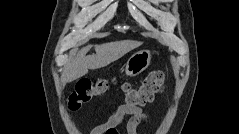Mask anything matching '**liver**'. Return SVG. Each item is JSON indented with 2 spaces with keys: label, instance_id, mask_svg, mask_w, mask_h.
<instances>
[{
  "label": "liver",
  "instance_id": "6515ba94",
  "mask_svg": "<svg viewBox=\"0 0 239 134\" xmlns=\"http://www.w3.org/2000/svg\"><path fill=\"white\" fill-rule=\"evenodd\" d=\"M142 42L122 40L95 45V54L87 55L90 46L82 48L65 71V80L72 82L88 73L89 69H98L118 60L126 53L139 47Z\"/></svg>",
  "mask_w": 239,
  "mask_h": 134
}]
</instances>
